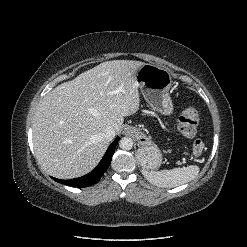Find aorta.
Instances as JSON below:
<instances>
[{"instance_id": "aorta-1", "label": "aorta", "mask_w": 247, "mask_h": 247, "mask_svg": "<svg viewBox=\"0 0 247 247\" xmlns=\"http://www.w3.org/2000/svg\"><path fill=\"white\" fill-rule=\"evenodd\" d=\"M119 146L123 150H130L133 147V140L130 137H123L119 141Z\"/></svg>"}]
</instances>
